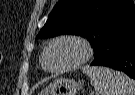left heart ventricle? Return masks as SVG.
<instances>
[{
  "instance_id": "obj_1",
  "label": "left heart ventricle",
  "mask_w": 135,
  "mask_h": 95,
  "mask_svg": "<svg viewBox=\"0 0 135 95\" xmlns=\"http://www.w3.org/2000/svg\"><path fill=\"white\" fill-rule=\"evenodd\" d=\"M82 56L81 47L71 41L55 44L48 53L46 64L49 68L56 69L75 63Z\"/></svg>"
}]
</instances>
